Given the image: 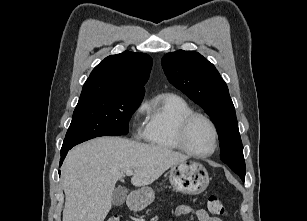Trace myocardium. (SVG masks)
Returning a JSON list of instances; mask_svg holds the SVG:
<instances>
[{
    "mask_svg": "<svg viewBox=\"0 0 307 221\" xmlns=\"http://www.w3.org/2000/svg\"><path fill=\"white\" fill-rule=\"evenodd\" d=\"M196 119H203L204 121H206L213 131L214 145H213L212 150L208 153H204V154L196 153L187 144V133H188L189 127ZM176 140H177L179 148L182 151H184L185 153H187L188 155L192 157L204 159V158H208L212 156L217 151L219 147V131H218L216 124L209 116L203 113H199V112H192L181 119L178 125V128H177Z\"/></svg>",
    "mask_w": 307,
    "mask_h": 221,
    "instance_id": "myocardium-1",
    "label": "myocardium"
}]
</instances>
